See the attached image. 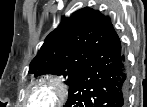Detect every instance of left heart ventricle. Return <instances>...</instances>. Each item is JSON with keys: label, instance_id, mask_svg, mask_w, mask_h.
Returning <instances> with one entry per match:
<instances>
[{"label": "left heart ventricle", "instance_id": "b2bd125f", "mask_svg": "<svg viewBox=\"0 0 147 107\" xmlns=\"http://www.w3.org/2000/svg\"><path fill=\"white\" fill-rule=\"evenodd\" d=\"M50 97L51 94L48 89L38 88L32 93L30 102L35 105L44 106L49 102Z\"/></svg>", "mask_w": 147, "mask_h": 107}]
</instances>
